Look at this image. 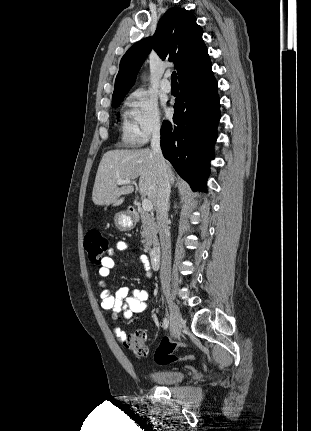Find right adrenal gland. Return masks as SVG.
Segmentation results:
<instances>
[{
  "mask_svg": "<svg viewBox=\"0 0 311 431\" xmlns=\"http://www.w3.org/2000/svg\"><path fill=\"white\" fill-rule=\"evenodd\" d=\"M168 208H169V210H170V204H168Z\"/></svg>",
  "mask_w": 311,
  "mask_h": 431,
  "instance_id": "1",
  "label": "right adrenal gland"
}]
</instances>
